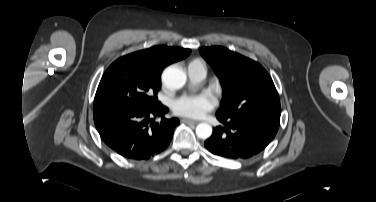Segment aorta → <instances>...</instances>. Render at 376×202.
Here are the masks:
<instances>
[{
	"label": "aorta",
	"instance_id": "762f6f07",
	"mask_svg": "<svg viewBox=\"0 0 376 202\" xmlns=\"http://www.w3.org/2000/svg\"><path fill=\"white\" fill-rule=\"evenodd\" d=\"M187 80L185 72L173 65L167 67L162 73V81L164 85L170 90L182 88ZM212 134V127L208 123H200L196 127V135L200 139H207Z\"/></svg>",
	"mask_w": 376,
	"mask_h": 202
}]
</instances>
